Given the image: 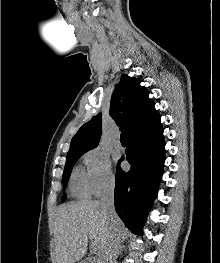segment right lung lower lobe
<instances>
[{"instance_id":"right-lung-lower-lobe-1","label":"right lung lower lobe","mask_w":220,"mask_h":263,"mask_svg":"<svg viewBox=\"0 0 220 263\" xmlns=\"http://www.w3.org/2000/svg\"><path fill=\"white\" fill-rule=\"evenodd\" d=\"M125 159L128 172L117 166L114 204L129 230L141 235V224L156 197L165 161L162 126L129 138Z\"/></svg>"}]
</instances>
